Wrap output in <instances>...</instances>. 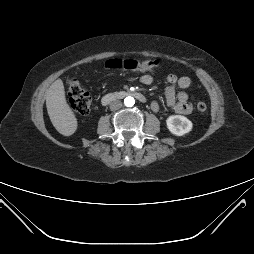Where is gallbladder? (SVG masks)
<instances>
[{
  "label": "gallbladder",
  "instance_id": "bac80fb5",
  "mask_svg": "<svg viewBox=\"0 0 254 254\" xmlns=\"http://www.w3.org/2000/svg\"><path fill=\"white\" fill-rule=\"evenodd\" d=\"M67 83H69V84H70V83H71V81H70V80H68V81H67Z\"/></svg>",
  "mask_w": 254,
  "mask_h": 254
}]
</instances>
